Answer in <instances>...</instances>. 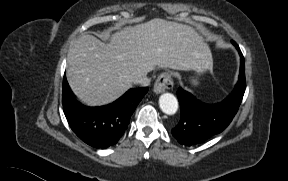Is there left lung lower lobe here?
<instances>
[{"label": "left lung lower lobe", "mask_w": 288, "mask_h": 181, "mask_svg": "<svg viewBox=\"0 0 288 181\" xmlns=\"http://www.w3.org/2000/svg\"><path fill=\"white\" fill-rule=\"evenodd\" d=\"M232 43L241 56V66L238 83L226 99L206 104L187 91L178 90L181 119L172 129V134L180 144L191 146L203 143L227 128L237 113L246 88L245 63L238 45L234 41Z\"/></svg>", "instance_id": "left-lung-lower-lobe-1"}]
</instances>
